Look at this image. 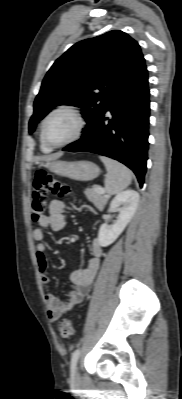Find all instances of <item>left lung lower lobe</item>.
Returning a JSON list of instances; mask_svg holds the SVG:
<instances>
[{
  "instance_id": "0a47b994",
  "label": "left lung lower lobe",
  "mask_w": 182,
  "mask_h": 399,
  "mask_svg": "<svg viewBox=\"0 0 182 399\" xmlns=\"http://www.w3.org/2000/svg\"><path fill=\"white\" fill-rule=\"evenodd\" d=\"M149 105L144 65L111 96L82 138L63 151L92 152L118 160L135 173L142 187L148 159Z\"/></svg>"
}]
</instances>
